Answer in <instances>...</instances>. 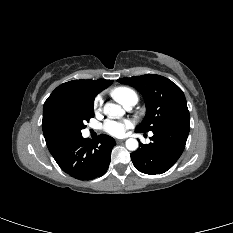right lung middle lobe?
Listing matches in <instances>:
<instances>
[{
    "label": "right lung middle lobe",
    "mask_w": 233,
    "mask_h": 233,
    "mask_svg": "<svg viewBox=\"0 0 233 233\" xmlns=\"http://www.w3.org/2000/svg\"><path fill=\"white\" fill-rule=\"evenodd\" d=\"M94 100H77L71 105L57 111L51 120L49 129L50 144L54 147L82 136L81 130L94 116Z\"/></svg>",
    "instance_id": "right-lung-middle-lobe-1"
}]
</instances>
